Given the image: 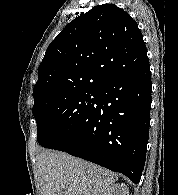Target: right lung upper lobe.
I'll return each instance as SVG.
<instances>
[{
    "mask_svg": "<svg viewBox=\"0 0 178 195\" xmlns=\"http://www.w3.org/2000/svg\"><path fill=\"white\" fill-rule=\"evenodd\" d=\"M147 62L135 20L114 4L99 5L67 24L48 46L38 69L34 107L76 91H97Z\"/></svg>",
    "mask_w": 178,
    "mask_h": 195,
    "instance_id": "right-lung-upper-lobe-1",
    "label": "right lung upper lobe"
}]
</instances>
